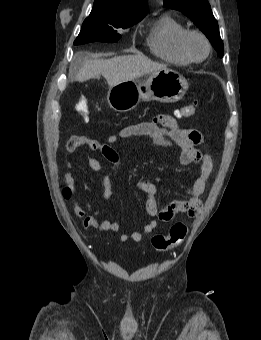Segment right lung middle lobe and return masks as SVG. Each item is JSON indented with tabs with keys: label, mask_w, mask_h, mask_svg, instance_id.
<instances>
[{
	"label": "right lung middle lobe",
	"mask_w": 261,
	"mask_h": 340,
	"mask_svg": "<svg viewBox=\"0 0 261 340\" xmlns=\"http://www.w3.org/2000/svg\"><path fill=\"white\" fill-rule=\"evenodd\" d=\"M142 20V18H116L106 14L91 11L82 24L81 31L74 44L89 42H116L121 38L116 28H128Z\"/></svg>",
	"instance_id": "1"
}]
</instances>
